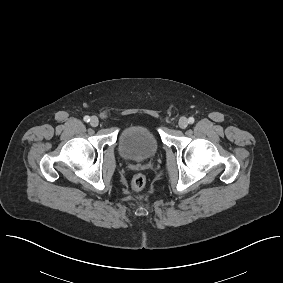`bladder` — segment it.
<instances>
[{
  "instance_id": "obj_1",
  "label": "bladder",
  "mask_w": 283,
  "mask_h": 283,
  "mask_svg": "<svg viewBox=\"0 0 283 283\" xmlns=\"http://www.w3.org/2000/svg\"><path fill=\"white\" fill-rule=\"evenodd\" d=\"M160 149L156 133L144 125L124 129L118 142L120 156L130 161H144L154 157Z\"/></svg>"
}]
</instances>
